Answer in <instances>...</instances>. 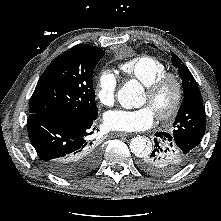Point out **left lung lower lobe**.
I'll list each match as a JSON object with an SVG mask.
<instances>
[{
	"instance_id": "obj_1",
	"label": "left lung lower lobe",
	"mask_w": 221,
	"mask_h": 221,
	"mask_svg": "<svg viewBox=\"0 0 221 221\" xmlns=\"http://www.w3.org/2000/svg\"><path fill=\"white\" fill-rule=\"evenodd\" d=\"M153 150L141 156L138 166L154 176H169L182 170L193 155L186 153L174 136L167 132H157Z\"/></svg>"
}]
</instances>
